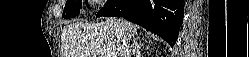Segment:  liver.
<instances>
[{
    "label": "liver",
    "instance_id": "liver-1",
    "mask_svg": "<svg viewBox=\"0 0 249 57\" xmlns=\"http://www.w3.org/2000/svg\"><path fill=\"white\" fill-rule=\"evenodd\" d=\"M137 26L122 18L104 17L100 23H73L62 31V57H125Z\"/></svg>",
    "mask_w": 249,
    "mask_h": 57
}]
</instances>
